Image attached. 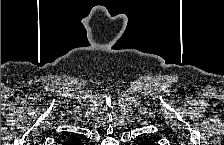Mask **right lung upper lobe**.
Returning <instances> with one entry per match:
<instances>
[{
	"label": "right lung upper lobe",
	"instance_id": "cb5924a9",
	"mask_svg": "<svg viewBox=\"0 0 224 145\" xmlns=\"http://www.w3.org/2000/svg\"><path fill=\"white\" fill-rule=\"evenodd\" d=\"M78 138L76 136H72L71 138H69L67 141H65L63 144L65 145H73V142L77 141Z\"/></svg>",
	"mask_w": 224,
	"mask_h": 145
}]
</instances>
